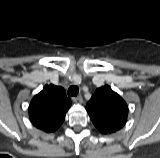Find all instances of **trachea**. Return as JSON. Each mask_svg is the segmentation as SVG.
I'll return each instance as SVG.
<instances>
[{
  "label": "trachea",
  "instance_id": "1",
  "mask_svg": "<svg viewBox=\"0 0 160 158\" xmlns=\"http://www.w3.org/2000/svg\"><path fill=\"white\" fill-rule=\"evenodd\" d=\"M67 93H68L69 96L76 97L78 95V93H79L78 86H76V85L70 86Z\"/></svg>",
  "mask_w": 160,
  "mask_h": 158
}]
</instances>
